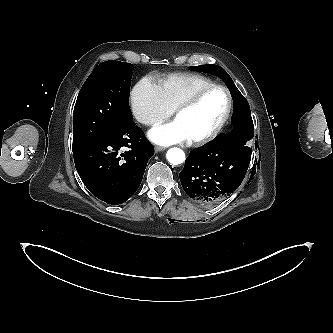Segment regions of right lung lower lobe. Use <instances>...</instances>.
<instances>
[{
  "label": "right lung lower lobe",
  "instance_id": "1",
  "mask_svg": "<svg viewBox=\"0 0 333 333\" xmlns=\"http://www.w3.org/2000/svg\"><path fill=\"white\" fill-rule=\"evenodd\" d=\"M73 155L76 170L88 190L100 200L118 205L140 186L154 147L131 119Z\"/></svg>",
  "mask_w": 333,
  "mask_h": 333
}]
</instances>
